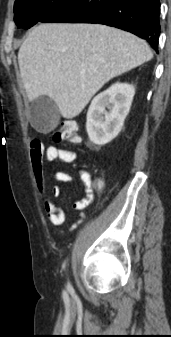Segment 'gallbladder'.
<instances>
[{"label": "gallbladder", "mask_w": 171, "mask_h": 337, "mask_svg": "<svg viewBox=\"0 0 171 337\" xmlns=\"http://www.w3.org/2000/svg\"><path fill=\"white\" fill-rule=\"evenodd\" d=\"M31 124L40 132L53 130L60 119L55 102L46 96L36 98L31 104Z\"/></svg>", "instance_id": "1"}]
</instances>
